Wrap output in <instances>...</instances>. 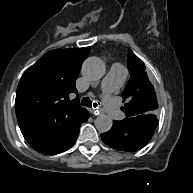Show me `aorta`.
Here are the masks:
<instances>
[{"label": "aorta", "mask_w": 193, "mask_h": 193, "mask_svg": "<svg viewBox=\"0 0 193 193\" xmlns=\"http://www.w3.org/2000/svg\"><path fill=\"white\" fill-rule=\"evenodd\" d=\"M82 72L87 78L98 80L105 73V64L100 58L90 57L84 62ZM94 123L96 129L101 133L109 131L113 124L112 119L105 114L99 115Z\"/></svg>", "instance_id": "aorta-1"}]
</instances>
